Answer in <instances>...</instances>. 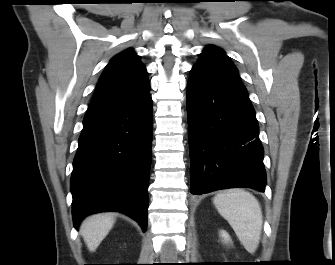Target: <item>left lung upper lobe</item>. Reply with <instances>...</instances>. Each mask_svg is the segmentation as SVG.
I'll return each mask as SVG.
<instances>
[{"label":"left lung upper lobe","mask_w":335,"mask_h":265,"mask_svg":"<svg viewBox=\"0 0 335 265\" xmlns=\"http://www.w3.org/2000/svg\"><path fill=\"white\" fill-rule=\"evenodd\" d=\"M194 67L200 68L218 78L234 80L242 84L235 65L225 52L215 45H208L204 48L199 61Z\"/></svg>","instance_id":"left-lung-upper-lobe-1"}]
</instances>
